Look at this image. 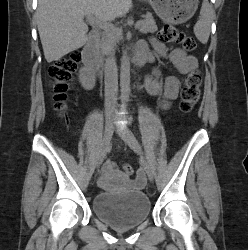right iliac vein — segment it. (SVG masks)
I'll list each match as a JSON object with an SVG mask.
<instances>
[{
	"instance_id": "right-iliac-vein-1",
	"label": "right iliac vein",
	"mask_w": 248,
	"mask_h": 250,
	"mask_svg": "<svg viewBox=\"0 0 248 250\" xmlns=\"http://www.w3.org/2000/svg\"><path fill=\"white\" fill-rule=\"evenodd\" d=\"M113 131H114V120L112 118H107L105 122V130H104L103 139H102L99 154H98L97 167H99L102 164L106 156V153L108 151L109 144L113 135Z\"/></svg>"
}]
</instances>
